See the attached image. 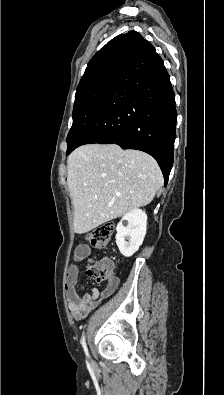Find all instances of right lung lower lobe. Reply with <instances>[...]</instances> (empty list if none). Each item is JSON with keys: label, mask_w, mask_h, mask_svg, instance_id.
<instances>
[{"label": "right lung lower lobe", "mask_w": 224, "mask_h": 395, "mask_svg": "<svg viewBox=\"0 0 224 395\" xmlns=\"http://www.w3.org/2000/svg\"><path fill=\"white\" fill-rule=\"evenodd\" d=\"M177 112L175 94L163 60L144 40L77 142L115 143L153 156L167 184L173 165Z\"/></svg>", "instance_id": "98d812e1"}]
</instances>
